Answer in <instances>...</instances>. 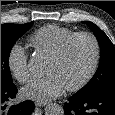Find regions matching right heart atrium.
Returning <instances> with one entry per match:
<instances>
[{
	"mask_svg": "<svg viewBox=\"0 0 115 115\" xmlns=\"http://www.w3.org/2000/svg\"><path fill=\"white\" fill-rule=\"evenodd\" d=\"M7 65L12 76L21 84L26 83L30 77V69L28 64V55L25 48L16 43L12 45L7 56Z\"/></svg>",
	"mask_w": 115,
	"mask_h": 115,
	"instance_id": "d8ad5b80",
	"label": "right heart atrium"
}]
</instances>
